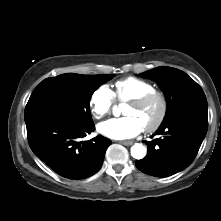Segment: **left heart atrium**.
Here are the masks:
<instances>
[{
  "label": "left heart atrium",
  "instance_id": "obj_1",
  "mask_svg": "<svg viewBox=\"0 0 221 221\" xmlns=\"http://www.w3.org/2000/svg\"><path fill=\"white\" fill-rule=\"evenodd\" d=\"M97 129L108 138L122 140L137 136L144 128L137 118L125 116L106 120L100 123Z\"/></svg>",
  "mask_w": 221,
  "mask_h": 221
}]
</instances>
